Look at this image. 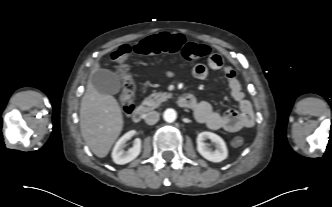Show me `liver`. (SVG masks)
Returning <instances> with one entry per match:
<instances>
[{
	"mask_svg": "<svg viewBox=\"0 0 332 207\" xmlns=\"http://www.w3.org/2000/svg\"><path fill=\"white\" fill-rule=\"evenodd\" d=\"M96 65L94 71L97 70ZM124 125L118 101L109 94L99 93L91 79L81 100L80 129L91 151L99 158L107 156Z\"/></svg>",
	"mask_w": 332,
	"mask_h": 207,
	"instance_id": "liver-1",
	"label": "liver"
}]
</instances>
